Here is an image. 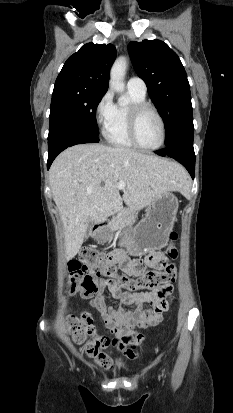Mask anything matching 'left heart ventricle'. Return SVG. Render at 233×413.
Returning a JSON list of instances; mask_svg holds the SVG:
<instances>
[{
	"label": "left heart ventricle",
	"instance_id": "left-heart-ventricle-1",
	"mask_svg": "<svg viewBox=\"0 0 233 413\" xmlns=\"http://www.w3.org/2000/svg\"><path fill=\"white\" fill-rule=\"evenodd\" d=\"M137 133L139 141L147 147H154L161 140V125L152 111H145L138 122Z\"/></svg>",
	"mask_w": 233,
	"mask_h": 413
}]
</instances>
